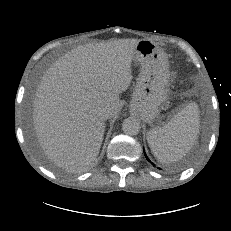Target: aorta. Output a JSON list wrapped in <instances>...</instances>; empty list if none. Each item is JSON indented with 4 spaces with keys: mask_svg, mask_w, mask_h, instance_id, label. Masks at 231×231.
Masks as SVG:
<instances>
[{
    "mask_svg": "<svg viewBox=\"0 0 231 231\" xmlns=\"http://www.w3.org/2000/svg\"><path fill=\"white\" fill-rule=\"evenodd\" d=\"M140 123L135 118H127L122 123V129L127 135H137L140 131Z\"/></svg>",
    "mask_w": 231,
    "mask_h": 231,
    "instance_id": "aorta-1",
    "label": "aorta"
}]
</instances>
